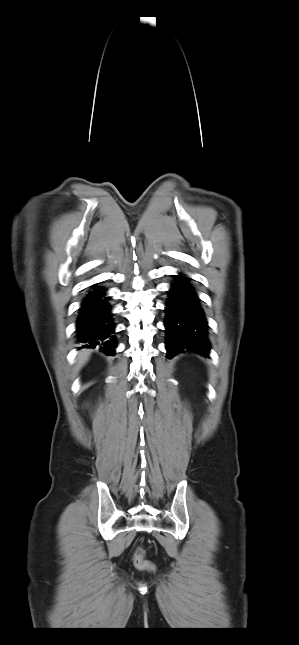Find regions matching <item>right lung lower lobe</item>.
<instances>
[{
  "label": "right lung lower lobe",
  "instance_id": "1",
  "mask_svg": "<svg viewBox=\"0 0 299 645\" xmlns=\"http://www.w3.org/2000/svg\"><path fill=\"white\" fill-rule=\"evenodd\" d=\"M106 296V289L94 285L84 297L77 319V342L80 348H95L106 355L114 356L117 346L112 306Z\"/></svg>",
  "mask_w": 299,
  "mask_h": 645
}]
</instances>
